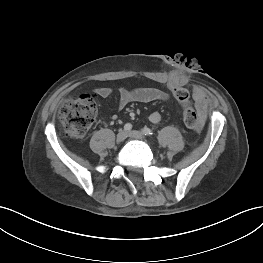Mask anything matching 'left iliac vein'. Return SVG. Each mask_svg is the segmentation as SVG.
Wrapping results in <instances>:
<instances>
[{"label":"left iliac vein","mask_w":263,"mask_h":263,"mask_svg":"<svg viewBox=\"0 0 263 263\" xmlns=\"http://www.w3.org/2000/svg\"><path fill=\"white\" fill-rule=\"evenodd\" d=\"M128 136L133 138V139H137V140H145L144 134L142 132L136 131V130L130 131L128 133Z\"/></svg>","instance_id":"left-iliac-vein-1"}]
</instances>
